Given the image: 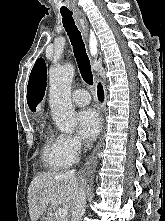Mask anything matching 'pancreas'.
Returning <instances> with one entry per match:
<instances>
[{
    "label": "pancreas",
    "mask_w": 165,
    "mask_h": 221,
    "mask_svg": "<svg viewBox=\"0 0 165 221\" xmlns=\"http://www.w3.org/2000/svg\"><path fill=\"white\" fill-rule=\"evenodd\" d=\"M50 221H69L68 217L66 218H60L57 214L51 216V220Z\"/></svg>",
    "instance_id": "1"
}]
</instances>
